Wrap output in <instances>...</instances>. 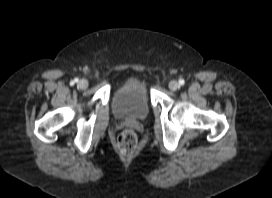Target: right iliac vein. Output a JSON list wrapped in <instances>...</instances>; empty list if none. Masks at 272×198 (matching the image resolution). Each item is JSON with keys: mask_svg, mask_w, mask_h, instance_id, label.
<instances>
[{"mask_svg": "<svg viewBox=\"0 0 272 198\" xmlns=\"http://www.w3.org/2000/svg\"><path fill=\"white\" fill-rule=\"evenodd\" d=\"M78 86L82 89L86 88L88 86V82L86 79H81L79 82H78Z\"/></svg>", "mask_w": 272, "mask_h": 198, "instance_id": "right-iliac-vein-1", "label": "right iliac vein"}]
</instances>
